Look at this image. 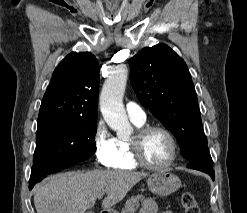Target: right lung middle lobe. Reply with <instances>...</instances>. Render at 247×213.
<instances>
[{"label": "right lung middle lobe", "instance_id": "right-lung-middle-lobe-1", "mask_svg": "<svg viewBox=\"0 0 247 213\" xmlns=\"http://www.w3.org/2000/svg\"><path fill=\"white\" fill-rule=\"evenodd\" d=\"M96 121L49 118L38 120L36 149L30 180H42L91 157L95 147Z\"/></svg>", "mask_w": 247, "mask_h": 213}]
</instances>
